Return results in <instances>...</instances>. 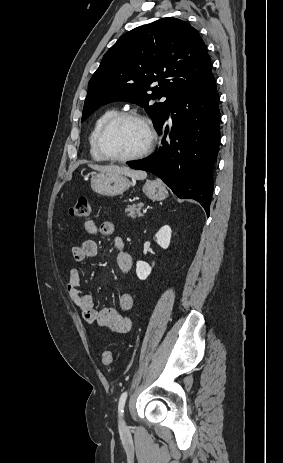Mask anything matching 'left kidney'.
<instances>
[{
  "mask_svg": "<svg viewBox=\"0 0 283 463\" xmlns=\"http://www.w3.org/2000/svg\"><path fill=\"white\" fill-rule=\"evenodd\" d=\"M172 230L170 226L165 225L156 233V242L163 248L167 249L170 245ZM152 268L145 261H137L136 263V274L140 280H145L150 275Z\"/></svg>",
  "mask_w": 283,
  "mask_h": 463,
  "instance_id": "left-kidney-1",
  "label": "left kidney"
}]
</instances>
